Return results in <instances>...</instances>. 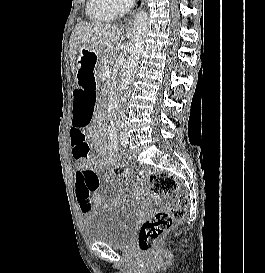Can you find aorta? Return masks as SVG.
Segmentation results:
<instances>
[{
  "mask_svg": "<svg viewBox=\"0 0 265 273\" xmlns=\"http://www.w3.org/2000/svg\"><path fill=\"white\" fill-rule=\"evenodd\" d=\"M148 24V14L145 11H141L135 16L133 21L130 56L122 74V84L125 86L131 83L134 79L138 67V61L148 32Z\"/></svg>",
  "mask_w": 265,
  "mask_h": 273,
  "instance_id": "762f6f07",
  "label": "aorta"
}]
</instances>
